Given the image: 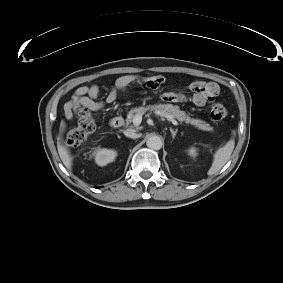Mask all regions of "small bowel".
I'll list each match as a JSON object with an SVG mask.
<instances>
[{"instance_id": "1", "label": "small bowel", "mask_w": 283, "mask_h": 283, "mask_svg": "<svg viewBox=\"0 0 283 283\" xmlns=\"http://www.w3.org/2000/svg\"><path fill=\"white\" fill-rule=\"evenodd\" d=\"M140 77L135 74H128L119 77L110 87L104 100H98L100 88L96 84L83 85L76 89L73 96L64 105V114L67 119H72L77 110L85 107L91 110H100L106 104L113 103L118 96V93L134 84L139 83ZM164 79L161 76L149 78L146 83L157 87L163 83ZM193 92L192 101L196 106H203L205 103L214 100L219 92V86L215 82H194L191 85ZM184 99L183 95L168 92L162 95V100L165 102H178Z\"/></svg>"}]
</instances>
